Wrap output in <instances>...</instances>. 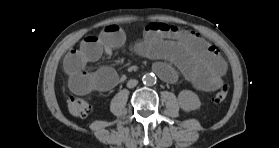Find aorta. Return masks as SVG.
Segmentation results:
<instances>
[{
  "mask_svg": "<svg viewBox=\"0 0 279 148\" xmlns=\"http://www.w3.org/2000/svg\"><path fill=\"white\" fill-rule=\"evenodd\" d=\"M142 81L145 85L151 86L156 83V77L153 73H147L142 77Z\"/></svg>",
  "mask_w": 279,
  "mask_h": 148,
  "instance_id": "762f6f07",
  "label": "aorta"
}]
</instances>
